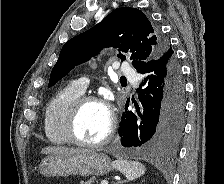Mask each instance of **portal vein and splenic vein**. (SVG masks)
<instances>
[{"instance_id":"obj_1","label":"portal vein and splenic vein","mask_w":224,"mask_h":184,"mask_svg":"<svg viewBox=\"0 0 224 184\" xmlns=\"http://www.w3.org/2000/svg\"><path fill=\"white\" fill-rule=\"evenodd\" d=\"M100 184H108L107 180H102Z\"/></svg>"}]
</instances>
